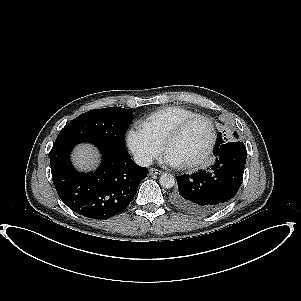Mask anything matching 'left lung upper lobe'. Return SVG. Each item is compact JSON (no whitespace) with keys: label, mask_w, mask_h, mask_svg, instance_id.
<instances>
[{"label":"left lung upper lobe","mask_w":301,"mask_h":301,"mask_svg":"<svg viewBox=\"0 0 301 301\" xmlns=\"http://www.w3.org/2000/svg\"><path fill=\"white\" fill-rule=\"evenodd\" d=\"M234 136H235L236 138H238L237 132H234ZM225 139H226V138H225ZM224 143H225V142H224L223 139H222V134L219 133V134H218L217 145H216L215 149L220 148L222 145H224Z\"/></svg>","instance_id":"left-lung-upper-lobe-1"}]
</instances>
